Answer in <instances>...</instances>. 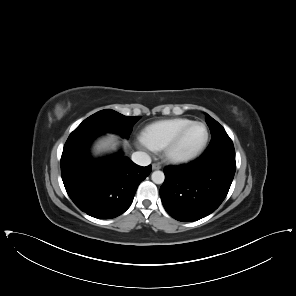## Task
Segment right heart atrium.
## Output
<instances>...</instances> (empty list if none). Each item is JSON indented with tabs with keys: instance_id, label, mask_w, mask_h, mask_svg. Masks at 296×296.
Wrapping results in <instances>:
<instances>
[{
	"instance_id": "d8ad5b80",
	"label": "right heart atrium",
	"mask_w": 296,
	"mask_h": 296,
	"mask_svg": "<svg viewBox=\"0 0 296 296\" xmlns=\"http://www.w3.org/2000/svg\"><path fill=\"white\" fill-rule=\"evenodd\" d=\"M138 143L144 149H147V150H151L152 149L143 138H140L139 141H138Z\"/></svg>"
}]
</instances>
